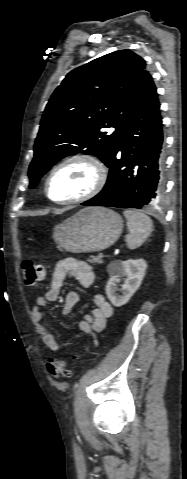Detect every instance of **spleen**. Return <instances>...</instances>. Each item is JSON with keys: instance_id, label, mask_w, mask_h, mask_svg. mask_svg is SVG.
Returning <instances> with one entry per match:
<instances>
[{"instance_id": "obj_1", "label": "spleen", "mask_w": 187, "mask_h": 479, "mask_svg": "<svg viewBox=\"0 0 187 479\" xmlns=\"http://www.w3.org/2000/svg\"><path fill=\"white\" fill-rule=\"evenodd\" d=\"M129 234L126 236L127 247L134 250L140 247L153 231L151 219L138 210H124Z\"/></svg>"}]
</instances>
